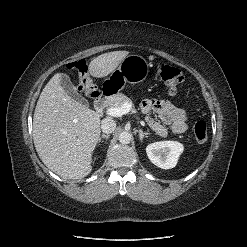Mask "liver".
<instances>
[{
    "instance_id": "1",
    "label": "liver",
    "mask_w": 247,
    "mask_h": 247,
    "mask_svg": "<svg viewBox=\"0 0 247 247\" xmlns=\"http://www.w3.org/2000/svg\"><path fill=\"white\" fill-rule=\"evenodd\" d=\"M128 54H101L90 62L88 71L93 77H105ZM60 79L61 74L54 75L38 99L33 140L40 159L51 171L65 179H80L92 171V154L101 132L100 117L71 98L60 86Z\"/></svg>"
}]
</instances>
